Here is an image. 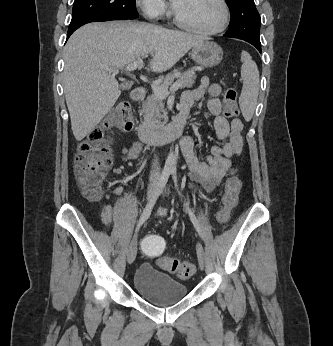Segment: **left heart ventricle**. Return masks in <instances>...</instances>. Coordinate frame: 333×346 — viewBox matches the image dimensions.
Masks as SVG:
<instances>
[{
  "label": "left heart ventricle",
  "mask_w": 333,
  "mask_h": 346,
  "mask_svg": "<svg viewBox=\"0 0 333 346\" xmlns=\"http://www.w3.org/2000/svg\"><path fill=\"white\" fill-rule=\"evenodd\" d=\"M175 9L186 22L202 29H213L223 19L218 0H177Z\"/></svg>",
  "instance_id": "b2bd125f"
}]
</instances>
